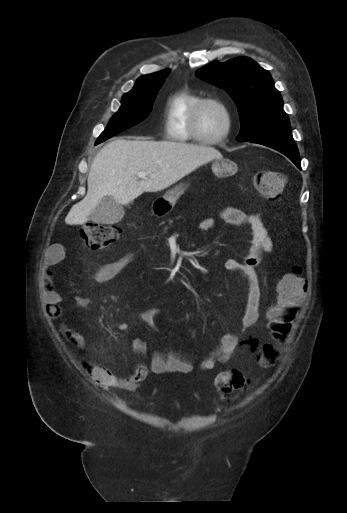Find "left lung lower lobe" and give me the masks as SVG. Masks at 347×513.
I'll list each match as a JSON object with an SVG mask.
<instances>
[{
    "label": "left lung lower lobe",
    "instance_id": "left-lung-lower-lobe-1",
    "mask_svg": "<svg viewBox=\"0 0 347 513\" xmlns=\"http://www.w3.org/2000/svg\"><path fill=\"white\" fill-rule=\"evenodd\" d=\"M248 142L258 143L273 148L286 155L299 169H301L298 149L294 143L290 130L272 132Z\"/></svg>",
    "mask_w": 347,
    "mask_h": 513
}]
</instances>
